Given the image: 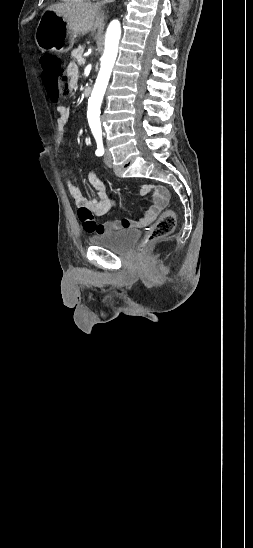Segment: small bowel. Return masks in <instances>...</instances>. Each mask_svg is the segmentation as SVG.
I'll return each instance as SVG.
<instances>
[{"mask_svg":"<svg viewBox=\"0 0 253 548\" xmlns=\"http://www.w3.org/2000/svg\"><path fill=\"white\" fill-rule=\"evenodd\" d=\"M66 73L70 78L71 86H74L78 79L77 66L74 63L69 64ZM56 110L58 114L56 123L57 139L61 142L70 116V110L63 105H57ZM88 181L96 192V195L92 199H87L83 192L72 181L67 182V191L79 207V220L83 224L85 230L92 234L98 235L122 228L148 225L169 202L170 194L165 187L158 185H143L140 189V195L143 197L153 195V203L140 218L136 220L122 219L97 223L94 220L93 215L102 216L108 213L115 207V201L108 195L106 185L97 173L90 172L88 174Z\"/></svg>","mask_w":253,"mask_h":548,"instance_id":"small-bowel-1","label":"small bowel"}]
</instances>
